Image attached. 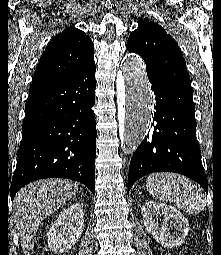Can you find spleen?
I'll return each mask as SVG.
<instances>
[{
	"instance_id": "1",
	"label": "spleen",
	"mask_w": 221,
	"mask_h": 255,
	"mask_svg": "<svg viewBox=\"0 0 221 255\" xmlns=\"http://www.w3.org/2000/svg\"><path fill=\"white\" fill-rule=\"evenodd\" d=\"M146 188L155 198L170 201L188 214H198L206 206L202 192L190 180L178 174H150Z\"/></svg>"
}]
</instances>
